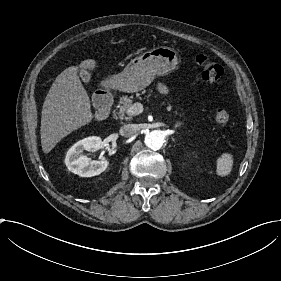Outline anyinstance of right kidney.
<instances>
[{
	"mask_svg": "<svg viewBox=\"0 0 281 281\" xmlns=\"http://www.w3.org/2000/svg\"><path fill=\"white\" fill-rule=\"evenodd\" d=\"M102 140L100 137L91 136L75 143L65 157V165L68 170L81 177H92L99 175L106 170L109 162L107 160H91L83 151H97L101 148Z\"/></svg>",
	"mask_w": 281,
	"mask_h": 281,
	"instance_id": "1",
	"label": "right kidney"
}]
</instances>
